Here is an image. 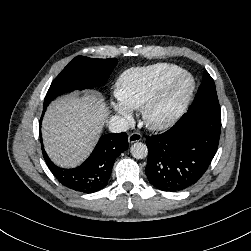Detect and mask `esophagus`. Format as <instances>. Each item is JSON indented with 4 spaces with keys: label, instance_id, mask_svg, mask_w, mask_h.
I'll use <instances>...</instances> for the list:
<instances>
[{
    "label": "esophagus",
    "instance_id": "obj_1",
    "mask_svg": "<svg viewBox=\"0 0 251 251\" xmlns=\"http://www.w3.org/2000/svg\"><path fill=\"white\" fill-rule=\"evenodd\" d=\"M142 139V135L138 132H133L128 136L129 143H135Z\"/></svg>",
    "mask_w": 251,
    "mask_h": 251
}]
</instances>
